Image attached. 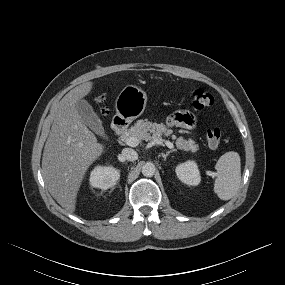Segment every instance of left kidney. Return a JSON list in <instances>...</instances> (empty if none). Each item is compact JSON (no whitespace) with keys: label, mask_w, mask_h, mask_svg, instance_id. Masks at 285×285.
Listing matches in <instances>:
<instances>
[{"label":"left kidney","mask_w":285,"mask_h":285,"mask_svg":"<svg viewBox=\"0 0 285 285\" xmlns=\"http://www.w3.org/2000/svg\"><path fill=\"white\" fill-rule=\"evenodd\" d=\"M179 180L190 186H197L201 181L200 172L195 161H186L175 169Z\"/></svg>","instance_id":"1"}]
</instances>
